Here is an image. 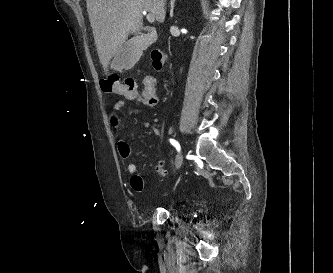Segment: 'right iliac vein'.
Returning <instances> with one entry per match:
<instances>
[{
    "instance_id": "1",
    "label": "right iliac vein",
    "mask_w": 333,
    "mask_h": 273,
    "mask_svg": "<svg viewBox=\"0 0 333 273\" xmlns=\"http://www.w3.org/2000/svg\"><path fill=\"white\" fill-rule=\"evenodd\" d=\"M183 163V156L182 153H178L175 161V167L176 169H179Z\"/></svg>"
}]
</instances>
